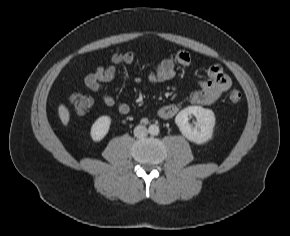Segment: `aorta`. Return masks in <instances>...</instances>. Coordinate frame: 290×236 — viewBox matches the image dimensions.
<instances>
[{
  "instance_id": "aorta-1",
  "label": "aorta",
  "mask_w": 290,
  "mask_h": 236,
  "mask_svg": "<svg viewBox=\"0 0 290 236\" xmlns=\"http://www.w3.org/2000/svg\"><path fill=\"white\" fill-rule=\"evenodd\" d=\"M148 132L151 134V135H158L159 133V127L157 125H150L149 126V129H148Z\"/></svg>"
}]
</instances>
